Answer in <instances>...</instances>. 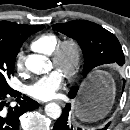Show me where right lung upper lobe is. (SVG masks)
Returning a JSON list of instances; mask_svg holds the SVG:
<instances>
[{"mask_svg": "<svg viewBox=\"0 0 130 130\" xmlns=\"http://www.w3.org/2000/svg\"><path fill=\"white\" fill-rule=\"evenodd\" d=\"M32 28L26 24L0 21V39L18 42L23 39L25 34Z\"/></svg>", "mask_w": 130, "mask_h": 130, "instance_id": "right-lung-upper-lobe-1", "label": "right lung upper lobe"}]
</instances>
